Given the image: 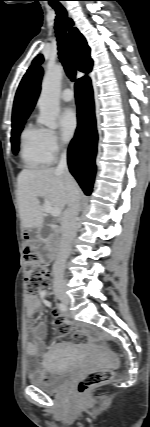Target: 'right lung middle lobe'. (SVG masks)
Returning a JSON list of instances; mask_svg holds the SVG:
<instances>
[{
    "label": "right lung middle lobe",
    "instance_id": "dd1d6c3e",
    "mask_svg": "<svg viewBox=\"0 0 150 427\" xmlns=\"http://www.w3.org/2000/svg\"><path fill=\"white\" fill-rule=\"evenodd\" d=\"M25 120H21L12 124L11 143L14 154H16L19 150V135L23 129Z\"/></svg>",
    "mask_w": 150,
    "mask_h": 427
}]
</instances>
